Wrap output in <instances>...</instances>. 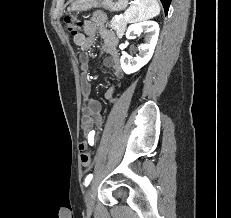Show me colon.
<instances>
[{"instance_id": "5ec220e1", "label": "colon", "mask_w": 231, "mask_h": 218, "mask_svg": "<svg viewBox=\"0 0 231 218\" xmlns=\"http://www.w3.org/2000/svg\"><path fill=\"white\" fill-rule=\"evenodd\" d=\"M65 26L69 34L71 35H78L79 31L82 29V23L80 20L72 15L68 14L64 18ZM81 163L83 166L88 167L91 164V156L90 153L87 151L82 150L80 155Z\"/></svg>"}]
</instances>
